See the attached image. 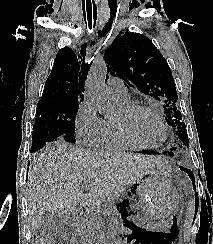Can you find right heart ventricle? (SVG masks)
Returning <instances> with one entry per match:
<instances>
[{
	"mask_svg": "<svg viewBox=\"0 0 213 244\" xmlns=\"http://www.w3.org/2000/svg\"><path fill=\"white\" fill-rule=\"evenodd\" d=\"M129 102H125L128 104ZM99 145L103 148L114 151L134 150L137 147L125 142L117 133L114 121L106 120L104 130L102 132Z\"/></svg>",
	"mask_w": 213,
	"mask_h": 244,
	"instance_id": "obj_1",
	"label": "right heart ventricle"
}]
</instances>
